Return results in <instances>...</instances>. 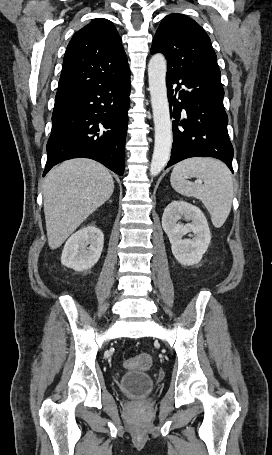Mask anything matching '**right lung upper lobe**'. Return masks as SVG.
<instances>
[{
    "mask_svg": "<svg viewBox=\"0 0 272 455\" xmlns=\"http://www.w3.org/2000/svg\"><path fill=\"white\" fill-rule=\"evenodd\" d=\"M130 74L121 38L107 19L96 18L77 31L65 52L56 99Z\"/></svg>",
    "mask_w": 272,
    "mask_h": 455,
    "instance_id": "cb5924a9",
    "label": "right lung upper lobe"
}]
</instances>
